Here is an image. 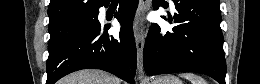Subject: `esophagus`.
<instances>
[{"mask_svg": "<svg viewBox=\"0 0 260 84\" xmlns=\"http://www.w3.org/2000/svg\"><path fill=\"white\" fill-rule=\"evenodd\" d=\"M150 0H139L138 9L135 18V41L137 48V76L139 80L144 78L143 68V49L145 43V30L142 24V18L148 9Z\"/></svg>", "mask_w": 260, "mask_h": 84, "instance_id": "obj_1", "label": "esophagus"}]
</instances>
